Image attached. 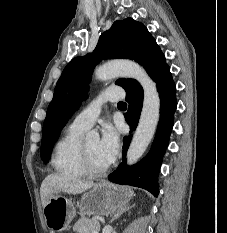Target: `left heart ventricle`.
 I'll use <instances>...</instances> for the list:
<instances>
[{
  "label": "left heart ventricle",
  "mask_w": 227,
  "mask_h": 233,
  "mask_svg": "<svg viewBox=\"0 0 227 233\" xmlns=\"http://www.w3.org/2000/svg\"><path fill=\"white\" fill-rule=\"evenodd\" d=\"M86 147V150L88 152V155L91 159V162L94 166L98 168L105 167L108 165V163L101 157L98 147H99V141H91L84 144Z\"/></svg>",
  "instance_id": "1"
}]
</instances>
